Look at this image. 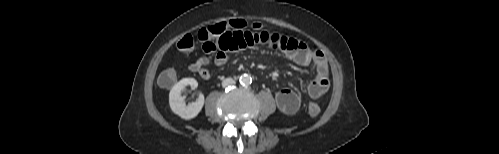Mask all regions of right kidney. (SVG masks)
<instances>
[{"mask_svg": "<svg viewBox=\"0 0 499 154\" xmlns=\"http://www.w3.org/2000/svg\"><path fill=\"white\" fill-rule=\"evenodd\" d=\"M190 86L192 90L197 88L198 82L194 78H183L176 83L169 93V105L171 110L183 119L189 120L195 118L202 110L204 105V96L199 94L195 102L186 105L181 97V92Z\"/></svg>", "mask_w": 499, "mask_h": 154, "instance_id": "obj_1", "label": "right kidney"}]
</instances>
